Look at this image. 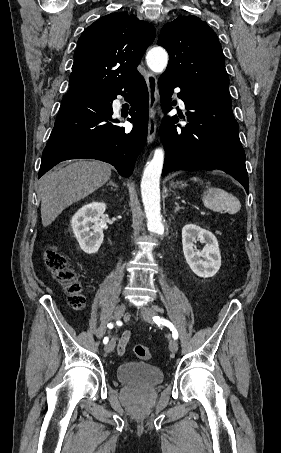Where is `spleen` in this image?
Listing matches in <instances>:
<instances>
[{
    "label": "spleen",
    "mask_w": 281,
    "mask_h": 453,
    "mask_svg": "<svg viewBox=\"0 0 281 453\" xmlns=\"http://www.w3.org/2000/svg\"><path fill=\"white\" fill-rule=\"evenodd\" d=\"M191 180H198V178L193 176ZM202 200L204 206L211 208V210H216V212L225 210L229 214H235L241 208L239 198H236L230 192H226V190H222V188H214V186H207V190L203 192Z\"/></svg>",
    "instance_id": "spleen-1"
}]
</instances>
